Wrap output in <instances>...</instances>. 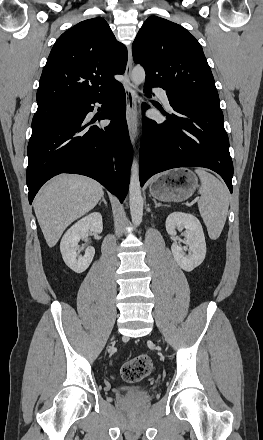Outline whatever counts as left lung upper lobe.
I'll return each instance as SVG.
<instances>
[{"label":"left lung upper lobe","instance_id":"left-lung-upper-lobe-1","mask_svg":"<svg viewBox=\"0 0 263 440\" xmlns=\"http://www.w3.org/2000/svg\"><path fill=\"white\" fill-rule=\"evenodd\" d=\"M132 52L135 63L146 71V83L169 89L186 101L219 103L202 47L182 26L149 17L133 42Z\"/></svg>","mask_w":263,"mask_h":440}]
</instances>
